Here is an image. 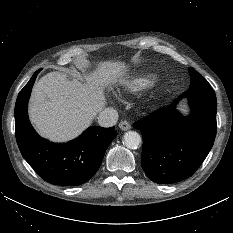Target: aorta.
Returning a JSON list of instances; mask_svg holds the SVG:
<instances>
[{"mask_svg":"<svg viewBox=\"0 0 233 233\" xmlns=\"http://www.w3.org/2000/svg\"><path fill=\"white\" fill-rule=\"evenodd\" d=\"M142 142V138L136 131H128L124 134L123 143L127 148L136 149Z\"/></svg>","mask_w":233,"mask_h":233,"instance_id":"762f6f07","label":"aorta"}]
</instances>
